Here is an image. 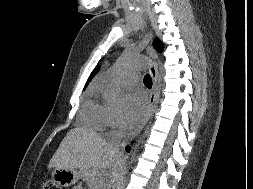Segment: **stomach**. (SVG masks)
Masks as SVG:
<instances>
[{"label": "stomach", "instance_id": "obj_1", "mask_svg": "<svg viewBox=\"0 0 253 189\" xmlns=\"http://www.w3.org/2000/svg\"><path fill=\"white\" fill-rule=\"evenodd\" d=\"M80 178V172L75 169L58 168L52 171L53 181L61 187L74 185Z\"/></svg>", "mask_w": 253, "mask_h": 189}]
</instances>
